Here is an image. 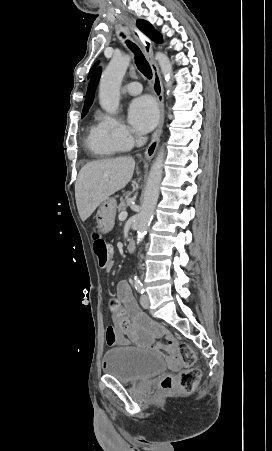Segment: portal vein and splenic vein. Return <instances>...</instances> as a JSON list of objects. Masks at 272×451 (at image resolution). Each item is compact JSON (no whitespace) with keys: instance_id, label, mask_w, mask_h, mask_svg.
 <instances>
[{"instance_id":"1","label":"portal vein and splenic vein","mask_w":272,"mask_h":451,"mask_svg":"<svg viewBox=\"0 0 272 451\" xmlns=\"http://www.w3.org/2000/svg\"><path fill=\"white\" fill-rule=\"evenodd\" d=\"M127 216H128L127 212H121V214H119L120 222H124V220H126Z\"/></svg>"}]
</instances>
